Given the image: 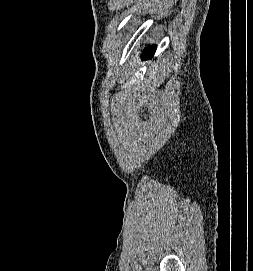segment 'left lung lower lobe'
Here are the masks:
<instances>
[{
    "instance_id": "1",
    "label": "left lung lower lobe",
    "mask_w": 253,
    "mask_h": 271,
    "mask_svg": "<svg viewBox=\"0 0 253 271\" xmlns=\"http://www.w3.org/2000/svg\"><path fill=\"white\" fill-rule=\"evenodd\" d=\"M156 51V46L153 47H149L147 50L144 51V53L142 54L143 59L149 58L151 57Z\"/></svg>"
}]
</instances>
